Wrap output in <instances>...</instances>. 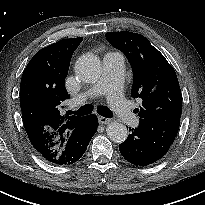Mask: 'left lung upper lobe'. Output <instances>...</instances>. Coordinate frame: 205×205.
Returning <instances> with one entry per match:
<instances>
[{"mask_svg":"<svg viewBox=\"0 0 205 205\" xmlns=\"http://www.w3.org/2000/svg\"><path fill=\"white\" fill-rule=\"evenodd\" d=\"M107 40L121 50L133 69L131 96L143 100L141 121L180 120L182 95L174 68L144 36L128 31L108 32Z\"/></svg>","mask_w":205,"mask_h":205,"instance_id":"left-lung-upper-lobe-1","label":"left lung upper lobe"}]
</instances>
